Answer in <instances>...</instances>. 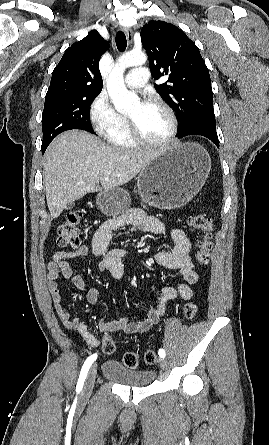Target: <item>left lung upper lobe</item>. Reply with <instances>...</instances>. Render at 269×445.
Masks as SVG:
<instances>
[{
	"label": "left lung upper lobe",
	"mask_w": 269,
	"mask_h": 445,
	"mask_svg": "<svg viewBox=\"0 0 269 445\" xmlns=\"http://www.w3.org/2000/svg\"><path fill=\"white\" fill-rule=\"evenodd\" d=\"M140 35L153 77H169L155 89L176 111L179 135L193 127L216 126L209 71L194 42L164 21L148 22Z\"/></svg>",
	"instance_id": "left-lung-upper-lobe-1"
}]
</instances>
